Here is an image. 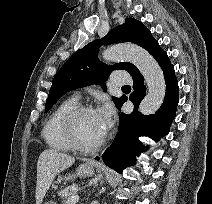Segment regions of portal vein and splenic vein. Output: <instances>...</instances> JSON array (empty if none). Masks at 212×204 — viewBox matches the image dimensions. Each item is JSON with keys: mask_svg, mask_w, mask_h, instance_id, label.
I'll return each instance as SVG.
<instances>
[{"mask_svg": "<svg viewBox=\"0 0 212 204\" xmlns=\"http://www.w3.org/2000/svg\"><path fill=\"white\" fill-rule=\"evenodd\" d=\"M79 201V196L75 195L69 198L66 202V204H76Z\"/></svg>", "mask_w": 212, "mask_h": 204, "instance_id": "1", "label": "portal vein and splenic vein"}]
</instances>
